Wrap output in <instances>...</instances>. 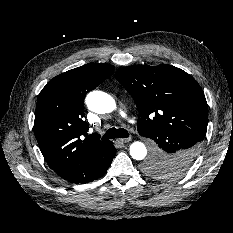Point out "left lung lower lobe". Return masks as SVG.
I'll return each instance as SVG.
<instances>
[{
  "instance_id": "0a47b994",
  "label": "left lung lower lobe",
  "mask_w": 233,
  "mask_h": 233,
  "mask_svg": "<svg viewBox=\"0 0 233 233\" xmlns=\"http://www.w3.org/2000/svg\"><path fill=\"white\" fill-rule=\"evenodd\" d=\"M143 137L150 138L156 143L153 155L164 158L176 169L181 170V172L168 170L157 178L171 179L182 175V172L194 162L199 152L200 145L196 142L197 138L182 131L156 130Z\"/></svg>"
}]
</instances>
